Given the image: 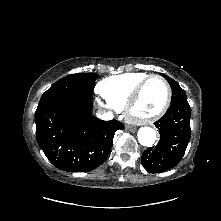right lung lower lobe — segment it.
I'll return each mask as SVG.
<instances>
[{"label": "right lung lower lobe", "mask_w": 221, "mask_h": 221, "mask_svg": "<svg viewBox=\"0 0 221 221\" xmlns=\"http://www.w3.org/2000/svg\"><path fill=\"white\" fill-rule=\"evenodd\" d=\"M92 106V100L60 98L37 108V142L57 168L69 172L95 169L109 155L114 132L124 129L117 120L91 116Z\"/></svg>", "instance_id": "right-lung-lower-lobe-1"}]
</instances>
